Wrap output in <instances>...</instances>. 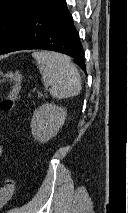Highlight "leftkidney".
Segmentation results:
<instances>
[{
	"label": "left kidney",
	"mask_w": 128,
	"mask_h": 213,
	"mask_svg": "<svg viewBox=\"0 0 128 213\" xmlns=\"http://www.w3.org/2000/svg\"><path fill=\"white\" fill-rule=\"evenodd\" d=\"M66 110L53 103H45L38 107L31 119L33 137L40 143H45L53 138L63 126Z\"/></svg>",
	"instance_id": "left-kidney-1"
}]
</instances>
